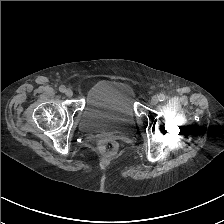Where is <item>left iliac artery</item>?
<instances>
[{
  "mask_svg": "<svg viewBox=\"0 0 224 224\" xmlns=\"http://www.w3.org/2000/svg\"><path fill=\"white\" fill-rule=\"evenodd\" d=\"M158 97L159 101H164L166 99V96L164 94H160Z\"/></svg>",
  "mask_w": 224,
  "mask_h": 224,
  "instance_id": "left-iliac-artery-1",
  "label": "left iliac artery"
}]
</instances>
